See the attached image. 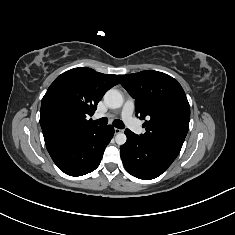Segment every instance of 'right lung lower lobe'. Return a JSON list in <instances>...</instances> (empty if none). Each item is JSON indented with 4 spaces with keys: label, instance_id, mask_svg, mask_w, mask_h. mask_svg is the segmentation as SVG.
<instances>
[{
    "label": "right lung lower lobe",
    "instance_id": "1",
    "mask_svg": "<svg viewBox=\"0 0 235 235\" xmlns=\"http://www.w3.org/2000/svg\"><path fill=\"white\" fill-rule=\"evenodd\" d=\"M113 135V126H101L47 145V150L54 163L65 174L82 176L99 166Z\"/></svg>",
    "mask_w": 235,
    "mask_h": 235
}]
</instances>
